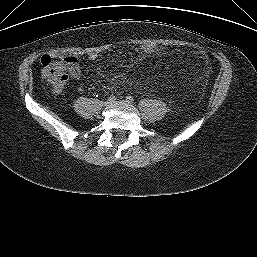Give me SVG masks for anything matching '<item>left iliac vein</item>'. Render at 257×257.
<instances>
[{
  "label": "left iliac vein",
  "instance_id": "left-iliac-vein-1",
  "mask_svg": "<svg viewBox=\"0 0 257 257\" xmlns=\"http://www.w3.org/2000/svg\"><path fill=\"white\" fill-rule=\"evenodd\" d=\"M121 103H127V101H124V100H122V101H120Z\"/></svg>",
  "mask_w": 257,
  "mask_h": 257
}]
</instances>
